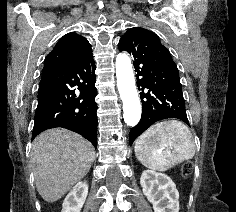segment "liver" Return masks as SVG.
I'll return each instance as SVG.
<instances>
[{"instance_id":"obj_1","label":"liver","mask_w":236,"mask_h":212,"mask_svg":"<svg viewBox=\"0 0 236 212\" xmlns=\"http://www.w3.org/2000/svg\"><path fill=\"white\" fill-rule=\"evenodd\" d=\"M95 159L92 144L77 133L54 128L38 135L30 153L40 196L55 202L83 179Z\"/></svg>"}]
</instances>
